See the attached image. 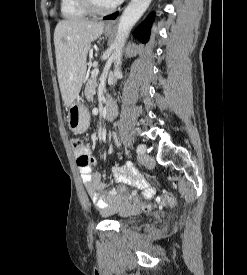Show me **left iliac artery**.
<instances>
[{
    "mask_svg": "<svg viewBox=\"0 0 247 275\" xmlns=\"http://www.w3.org/2000/svg\"><path fill=\"white\" fill-rule=\"evenodd\" d=\"M143 151H145V146H144V145H139V146L137 147V153L143 152Z\"/></svg>",
    "mask_w": 247,
    "mask_h": 275,
    "instance_id": "1",
    "label": "left iliac artery"
}]
</instances>
